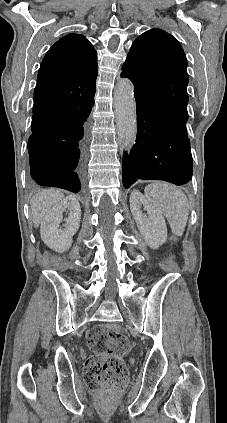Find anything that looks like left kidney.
Returning <instances> with one entry per match:
<instances>
[{"label": "left kidney", "mask_w": 227, "mask_h": 423, "mask_svg": "<svg viewBox=\"0 0 227 423\" xmlns=\"http://www.w3.org/2000/svg\"><path fill=\"white\" fill-rule=\"evenodd\" d=\"M147 213H142L141 208ZM130 210L138 225L139 231L143 233L144 239L150 247L157 249L167 239V227L162 213L153 210L139 190H133L130 196Z\"/></svg>", "instance_id": "obj_1"}]
</instances>
